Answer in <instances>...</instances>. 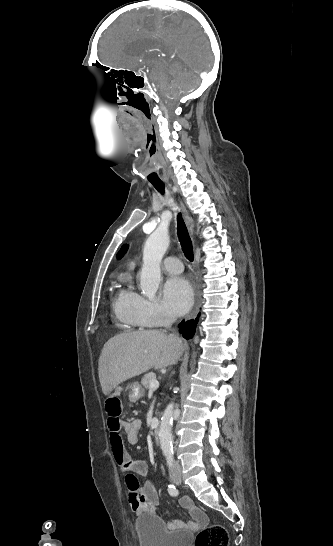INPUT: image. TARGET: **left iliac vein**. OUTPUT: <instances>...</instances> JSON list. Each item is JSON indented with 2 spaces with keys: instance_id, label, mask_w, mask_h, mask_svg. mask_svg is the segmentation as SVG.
<instances>
[{
  "instance_id": "1",
  "label": "left iliac vein",
  "mask_w": 333,
  "mask_h": 546,
  "mask_svg": "<svg viewBox=\"0 0 333 546\" xmlns=\"http://www.w3.org/2000/svg\"><path fill=\"white\" fill-rule=\"evenodd\" d=\"M174 483H176L177 485L181 484V477L178 476V477L174 480Z\"/></svg>"
}]
</instances>
